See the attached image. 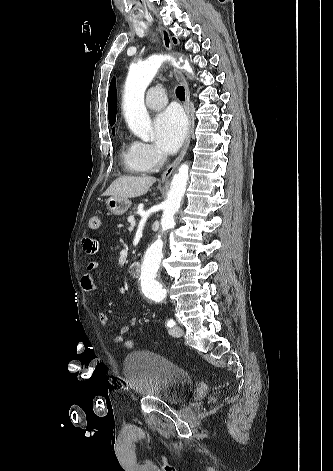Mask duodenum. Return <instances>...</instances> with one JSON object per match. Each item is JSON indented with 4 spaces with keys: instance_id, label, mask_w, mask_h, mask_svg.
I'll return each instance as SVG.
<instances>
[{
    "instance_id": "obj_1",
    "label": "duodenum",
    "mask_w": 333,
    "mask_h": 471,
    "mask_svg": "<svg viewBox=\"0 0 333 471\" xmlns=\"http://www.w3.org/2000/svg\"><path fill=\"white\" fill-rule=\"evenodd\" d=\"M141 268H142L141 262L134 261L128 266V272L131 276L137 277L140 275Z\"/></svg>"
}]
</instances>
